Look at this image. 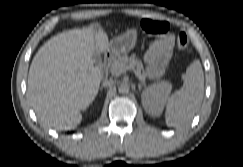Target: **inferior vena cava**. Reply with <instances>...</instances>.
Here are the masks:
<instances>
[{
    "instance_id": "602c4592",
    "label": "inferior vena cava",
    "mask_w": 243,
    "mask_h": 167,
    "mask_svg": "<svg viewBox=\"0 0 243 167\" xmlns=\"http://www.w3.org/2000/svg\"><path fill=\"white\" fill-rule=\"evenodd\" d=\"M111 84H112L111 80H105L104 83H103L104 86H109Z\"/></svg>"
}]
</instances>
